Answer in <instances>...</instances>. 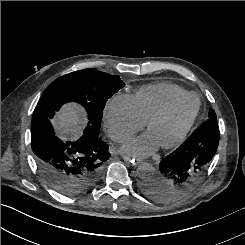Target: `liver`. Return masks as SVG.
Listing matches in <instances>:
<instances>
[{
    "instance_id": "1",
    "label": "liver",
    "mask_w": 245,
    "mask_h": 245,
    "mask_svg": "<svg viewBox=\"0 0 245 245\" xmlns=\"http://www.w3.org/2000/svg\"><path fill=\"white\" fill-rule=\"evenodd\" d=\"M53 122L61 135L72 134L77 136L80 133L82 122L81 109L75 104L65 105L53 119Z\"/></svg>"
}]
</instances>
